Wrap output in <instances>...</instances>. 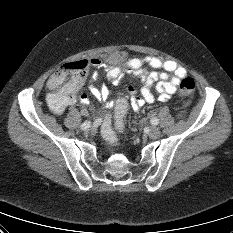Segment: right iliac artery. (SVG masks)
I'll return each mask as SVG.
<instances>
[{
	"label": "right iliac artery",
	"mask_w": 233,
	"mask_h": 233,
	"mask_svg": "<svg viewBox=\"0 0 233 233\" xmlns=\"http://www.w3.org/2000/svg\"><path fill=\"white\" fill-rule=\"evenodd\" d=\"M90 126H89V121H85L82 125H81V129L84 130V129H88Z\"/></svg>",
	"instance_id": "right-iliac-artery-1"
}]
</instances>
